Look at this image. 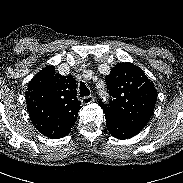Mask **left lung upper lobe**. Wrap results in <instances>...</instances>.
Wrapping results in <instances>:
<instances>
[{"label": "left lung upper lobe", "instance_id": "5c2ea615", "mask_svg": "<svg viewBox=\"0 0 183 183\" xmlns=\"http://www.w3.org/2000/svg\"><path fill=\"white\" fill-rule=\"evenodd\" d=\"M105 81L112 96L109 104L99 100L105 118L144 127L153 113L157 90L143 70L129 62L119 63Z\"/></svg>", "mask_w": 183, "mask_h": 183}]
</instances>
